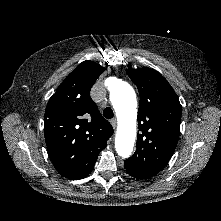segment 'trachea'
<instances>
[{
	"label": "trachea",
	"mask_w": 221,
	"mask_h": 221,
	"mask_svg": "<svg viewBox=\"0 0 221 221\" xmlns=\"http://www.w3.org/2000/svg\"><path fill=\"white\" fill-rule=\"evenodd\" d=\"M103 116L106 119H111L114 116L113 110L110 107H107L103 110Z\"/></svg>",
	"instance_id": "1"
}]
</instances>
